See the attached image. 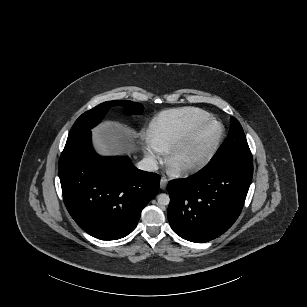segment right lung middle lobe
<instances>
[{"label": "right lung middle lobe", "instance_id": "right-lung-middle-lobe-1", "mask_svg": "<svg viewBox=\"0 0 307 307\" xmlns=\"http://www.w3.org/2000/svg\"><path fill=\"white\" fill-rule=\"evenodd\" d=\"M114 106H122L130 113L140 114L143 111V105L129 100H115L101 103L93 109L82 114L72 126L68 139L71 140L81 133L90 130L96 126L105 116L107 111Z\"/></svg>", "mask_w": 307, "mask_h": 307}]
</instances>
